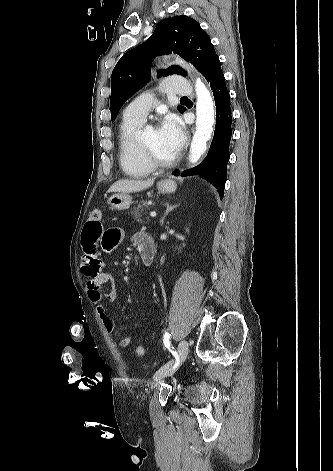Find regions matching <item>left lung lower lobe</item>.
<instances>
[{"label":"left lung lower lobe","mask_w":333,"mask_h":471,"mask_svg":"<svg viewBox=\"0 0 333 471\" xmlns=\"http://www.w3.org/2000/svg\"><path fill=\"white\" fill-rule=\"evenodd\" d=\"M202 75L210 83L216 105V126L214 137L206 158L196 167L182 172V176L201 175L211 181L220 193L221 199L227 178V163L230 158L229 144L232 135V115L229 92L221 71L219 58L214 52L207 60ZM173 175L178 176L176 170Z\"/></svg>","instance_id":"0a47b994"}]
</instances>
